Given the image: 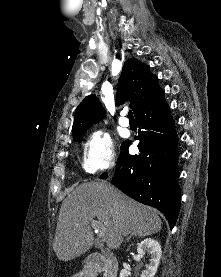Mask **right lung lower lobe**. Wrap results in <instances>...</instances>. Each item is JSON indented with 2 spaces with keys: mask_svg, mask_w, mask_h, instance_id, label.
I'll use <instances>...</instances> for the list:
<instances>
[{
  "mask_svg": "<svg viewBox=\"0 0 221 277\" xmlns=\"http://www.w3.org/2000/svg\"><path fill=\"white\" fill-rule=\"evenodd\" d=\"M164 96L161 91L135 115L140 153L130 155L131 141L122 143L112 183L131 198L163 212L172 229L180 210L179 153L175 124Z\"/></svg>",
  "mask_w": 221,
  "mask_h": 277,
  "instance_id": "1",
  "label": "right lung lower lobe"
}]
</instances>
